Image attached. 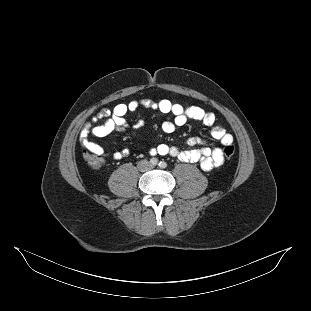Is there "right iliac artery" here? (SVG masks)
<instances>
[{"instance_id": "1", "label": "right iliac artery", "mask_w": 311, "mask_h": 311, "mask_svg": "<svg viewBox=\"0 0 311 311\" xmlns=\"http://www.w3.org/2000/svg\"><path fill=\"white\" fill-rule=\"evenodd\" d=\"M150 163H151V165L155 166L158 164V160L156 158H151Z\"/></svg>"}]
</instances>
